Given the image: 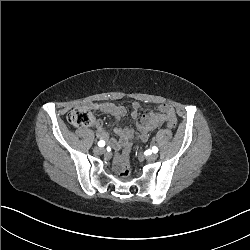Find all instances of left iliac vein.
Instances as JSON below:
<instances>
[{"instance_id":"obj_1","label":"left iliac vein","mask_w":250,"mask_h":250,"mask_svg":"<svg viewBox=\"0 0 250 250\" xmlns=\"http://www.w3.org/2000/svg\"><path fill=\"white\" fill-rule=\"evenodd\" d=\"M157 157H158L157 154H151L147 158L149 161H155L157 159Z\"/></svg>"}]
</instances>
